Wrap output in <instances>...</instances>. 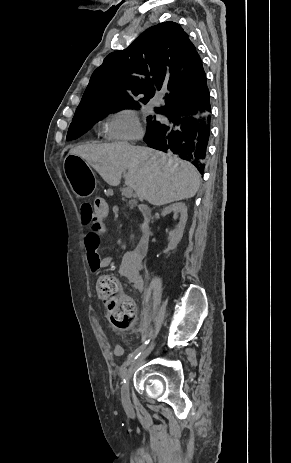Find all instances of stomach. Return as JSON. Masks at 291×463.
<instances>
[{
  "mask_svg": "<svg viewBox=\"0 0 291 463\" xmlns=\"http://www.w3.org/2000/svg\"><path fill=\"white\" fill-rule=\"evenodd\" d=\"M64 169L70 186L77 197L90 196L96 186V179L88 162L78 156L68 155Z\"/></svg>",
  "mask_w": 291,
  "mask_h": 463,
  "instance_id": "1",
  "label": "stomach"
}]
</instances>
